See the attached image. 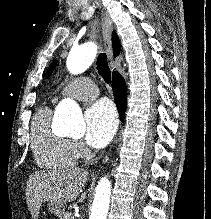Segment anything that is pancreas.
Returning a JSON list of instances; mask_svg holds the SVG:
<instances>
[{
  "instance_id": "pancreas-1",
  "label": "pancreas",
  "mask_w": 211,
  "mask_h": 219,
  "mask_svg": "<svg viewBox=\"0 0 211 219\" xmlns=\"http://www.w3.org/2000/svg\"><path fill=\"white\" fill-rule=\"evenodd\" d=\"M60 219H74L69 212H64L63 215L60 216Z\"/></svg>"
}]
</instances>
